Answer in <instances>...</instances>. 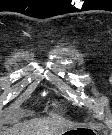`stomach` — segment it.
Returning <instances> with one entry per match:
<instances>
[{"instance_id": "1", "label": "stomach", "mask_w": 112, "mask_h": 135, "mask_svg": "<svg viewBox=\"0 0 112 135\" xmlns=\"http://www.w3.org/2000/svg\"><path fill=\"white\" fill-rule=\"evenodd\" d=\"M63 134L65 135H86V134H95L94 131L85 128H71L65 131Z\"/></svg>"}]
</instances>
